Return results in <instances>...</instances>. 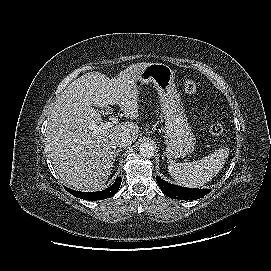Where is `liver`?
Returning a JSON list of instances; mask_svg holds the SVG:
<instances>
[{"label":"liver","mask_w":271,"mask_h":271,"mask_svg":"<svg viewBox=\"0 0 271 271\" xmlns=\"http://www.w3.org/2000/svg\"><path fill=\"white\" fill-rule=\"evenodd\" d=\"M147 65H130L116 79L98 71L86 73L56 98L48 117L46 147L55 171L67 185L87 191L102 187L112 171L114 138L127 133L136 141L139 127L132 122H122L96 134L93 128L102 118L93 106L115 104L126 118L137 119V82Z\"/></svg>","instance_id":"6515ba94"}]
</instances>
